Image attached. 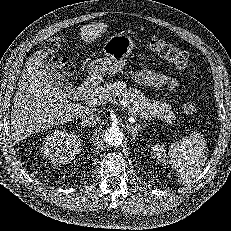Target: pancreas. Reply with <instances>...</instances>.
I'll return each instance as SVG.
<instances>
[{"mask_svg": "<svg viewBox=\"0 0 231 231\" xmlns=\"http://www.w3.org/2000/svg\"><path fill=\"white\" fill-rule=\"evenodd\" d=\"M92 96L103 97L104 103H116L123 100L132 116H142L145 113L148 117L158 118L169 124L175 120V113L172 111L171 105L163 101L146 98L144 93L137 88L127 89V85L120 81H110L104 86L96 88Z\"/></svg>", "mask_w": 231, "mask_h": 231, "instance_id": "1", "label": "pancreas"}]
</instances>
